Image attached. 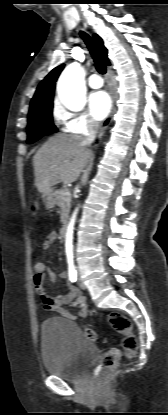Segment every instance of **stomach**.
Here are the masks:
<instances>
[{"label": "stomach", "mask_w": 168, "mask_h": 415, "mask_svg": "<svg viewBox=\"0 0 168 415\" xmlns=\"http://www.w3.org/2000/svg\"><path fill=\"white\" fill-rule=\"evenodd\" d=\"M42 200H43V203H44V205H45V207H46L47 209H51V208H53V207H54V205H55V201H54L53 193H52V191H51V190H49V191H45V192L42 194Z\"/></svg>", "instance_id": "0dacf381"}]
</instances>
